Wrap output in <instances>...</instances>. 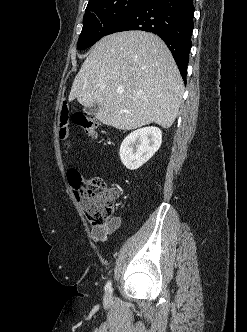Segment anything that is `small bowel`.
Segmentation results:
<instances>
[{
	"instance_id": "obj_1",
	"label": "small bowel",
	"mask_w": 247,
	"mask_h": 332,
	"mask_svg": "<svg viewBox=\"0 0 247 332\" xmlns=\"http://www.w3.org/2000/svg\"><path fill=\"white\" fill-rule=\"evenodd\" d=\"M113 192L116 197L119 195V191L117 189H113ZM120 223V219L115 217L106 224L94 225L91 229L92 238L97 242L106 241L108 236L119 228Z\"/></svg>"
}]
</instances>
